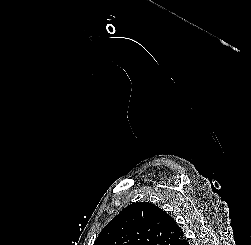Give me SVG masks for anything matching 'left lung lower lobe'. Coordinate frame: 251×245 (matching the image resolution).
<instances>
[{"mask_svg":"<svg viewBox=\"0 0 251 245\" xmlns=\"http://www.w3.org/2000/svg\"><path fill=\"white\" fill-rule=\"evenodd\" d=\"M177 245H189V243H188L187 240L184 238V239H182L180 242H178Z\"/></svg>","mask_w":251,"mask_h":245,"instance_id":"left-lung-lower-lobe-1","label":"left lung lower lobe"}]
</instances>
